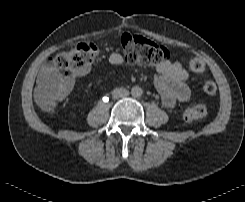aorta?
<instances>
[{"instance_id":"1","label":"aorta","mask_w":245,"mask_h":202,"mask_svg":"<svg viewBox=\"0 0 245 202\" xmlns=\"http://www.w3.org/2000/svg\"><path fill=\"white\" fill-rule=\"evenodd\" d=\"M131 94H132L133 97H141L142 94H143V90L139 86H134L131 89Z\"/></svg>"}]
</instances>
